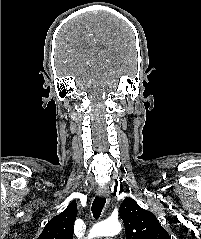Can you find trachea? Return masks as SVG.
Here are the masks:
<instances>
[{"label": "trachea", "instance_id": "1", "mask_svg": "<svg viewBox=\"0 0 201 239\" xmlns=\"http://www.w3.org/2000/svg\"><path fill=\"white\" fill-rule=\"evenodd\" d=\"M105 203L106 199L104 197H95L91 208L94 218L98 219L100 217Z\"/></svg>", "mask_w": 201, "mask_h": 239}]
</instances>
